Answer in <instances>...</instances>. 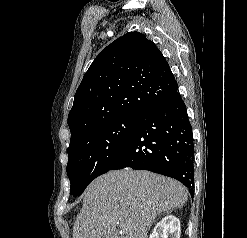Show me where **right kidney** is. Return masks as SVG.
Listing matches in <instances>:
<instances>
[{"label": "right kidney", "instance_id": "right-kidney-1", "mask_svg": "<svg viewBox=\"0 0 247 238\" xmlns=\"http://www.w3.org/2000/svg\"><path fill=\"white\" fill-rule=\"evenodd\" d=\"M180 234V220L173 215H167L157 223L149 238H180Z\"/></svg>", "mask_w": 247, "mask_h": 238}]
</instances>
